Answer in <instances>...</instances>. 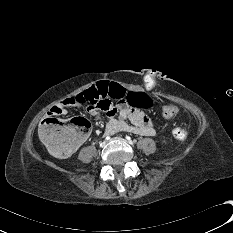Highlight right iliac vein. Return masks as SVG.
<instances>
[{
	"instance_id": "1",
	"label": "right iliac vein",
	"mask_w": 233,
	"mask_h": 233,
	"mask_svg": "<svg viewBox=\"0 0 233 233\" xmlns=\"http://www.w3.org/2000/svg\"><path fill=\"white\" fill-rule=\"evenodd\" d=\"M106 144H107V142H106V141H103V142L100 143V146L103 148V147L106 146Z\"/></svg>"
}]
</instances>
